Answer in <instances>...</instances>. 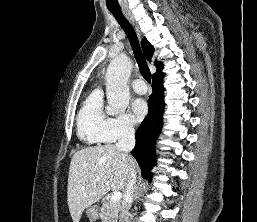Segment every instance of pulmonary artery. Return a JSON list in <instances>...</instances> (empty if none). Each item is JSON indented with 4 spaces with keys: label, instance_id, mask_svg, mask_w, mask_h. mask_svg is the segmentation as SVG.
<instances>
[{
    "label": "pulmonary artery",
    "instance_id": "1",
    "mask_svg": "<svg viewBox=\"0 0 257 222\" xmlns=\"http://www.w3.org/2000/svg\"><path fill=\"white\" fill-rule=\"evenodd\" d=\"M133 90L138 94H145L147 92V86L142 80H134L132 82Z\"/></svg>",
    "mask_w": 257,
    "mask_h": 222
}]
</instances>
